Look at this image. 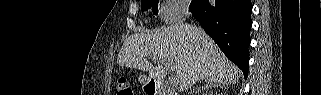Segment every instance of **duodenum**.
Returning <instances> with one entry per match:
<instances>
[{
	"label": "duodenum",
	"instance_id": "1",
	"mask_svg": "<svg viewBox=\"0 0 321 95\" xmlns=\"http://www.w3.org/2000/svg\"><path fill=\"white\" fill-rule=\"evenodd\" d=\"M154 84V81L153 80H150L149 81V85H153ZM157 94H163V93H157Z\"/></svg>",
	"mask_w": 321,
	"mask_h": 95
}]
</instances>
